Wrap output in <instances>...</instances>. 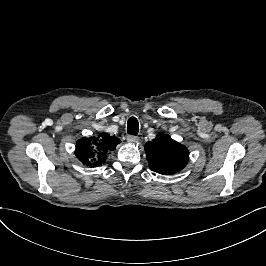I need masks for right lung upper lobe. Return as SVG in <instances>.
<instances>
[{
  "label": "right lung upper lobe",
  "instance_id": "cb5924a9",
  "mask_svg": "<svg viewBox=\"0 0 266 266\" xmlns=\"http://www.w3.org/2000/svg\"><path fill=\"white\" fill-rule=\"evenodd\" d=\"M119 143L117 137L103 132L96 137L78 140L75 154L84 165L96 167L105 162L107 154L115 150Z\"/></svg>",
  "mask_w": 266,
  "mask_h": 266
}]
</instances>
